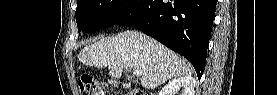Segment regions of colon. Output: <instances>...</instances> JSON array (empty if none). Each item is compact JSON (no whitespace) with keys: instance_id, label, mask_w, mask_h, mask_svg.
Returning a JSON list of instances; mask_svg holds the SVG:
<instances>
[{"instance_id":"5ec220e1","label":"colon","mask_w":277,"mask_h":95,"mask_svg":"<svg viewBox=\"0 0 277 95\" xmlns=\"http://www.w3.org/2000/svg\"><path fill=\"white\" fill-rule=\"evenodd\" d=\"M80 91L85 95H105L108 91V86L105 83L98 82L89 76H82L80 79ZM132 94L144 95L142 91H135Z\"/></svg>"}]
</instances>
